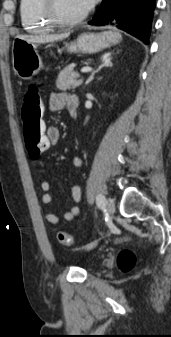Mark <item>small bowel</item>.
I'll list each match as a JSON object with an SVG mask.
<instances>
[{
  "mask_svg": "<svg viewBox=\"0 0 171 337\" xmlns=\"http://www.w3.org/2000/svg\"><path fill=\"white\" fill-rule=\"evenodd\" d=\"M72 103L78 104V98L75 95H70L64 92L52 93L48 100V110L50 112H57L63 108H69ZM46 138L50 141V145L54 146L59 142L60 130L56 126L46 127ZM84 164V160L80 156H74L71 159V165L74 168H80ZM41 190L44 192L42 195V202L44 204H49L52 200L51 195L48 193L50 189V183L47 180H43L40 183ZM71 198L74 203H79L82 198L81 188L79 185L74 184L70 189ZM80 213V208L77 205L72 206L68 211L64 213V219L66 221L73 220ZM46 221L51 225H57L59 223V218L53 212H48L45 215Z\"/></svg>",
  "mask_w": 171,
  "mask_h": 337,
  "instance_id": "c3829d8e",
  "label": "small bowel"
}]
</instances>
